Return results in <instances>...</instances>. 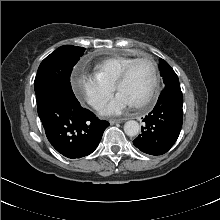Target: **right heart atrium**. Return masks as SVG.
Wrapping results in <instances>:
<instances>
[{
    "instance_id": "d8ad5b80",
    "label": "right heart atrium",
    "mask_w": 220,
    "mask_h": 220,
    "mask_svg": "<svg viewBox=\"0 0 220 220\" xmlns=\"http://www.w3.org/2000/svg\"><path fill=\"white\" fill-rule=\"evenodd\" d=\"M75 95L97 109L101 107L112 95L114 86L104 82L96 75L79 73L71 79Z\"/></svg>"
}]
</instances>
